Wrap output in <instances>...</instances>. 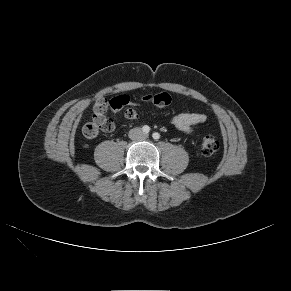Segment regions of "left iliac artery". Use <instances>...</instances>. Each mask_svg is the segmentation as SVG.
Listing matches in <instances>:
<instances>
[{"label": "left iliac artery", "mask_w": 291, "mask_h": 291, "mask_svg": "<svg viewBox=\"0 0 291 291\" xmlns=\"http://www.w3.org/2000/svg\"><path fill=\"white\" fill-rule=\"evenodd\" d=\"M153 139L158 140L160 138V134L158 132H154L152 134Z\"/></svg>", "instance_id": "obj_1"}]
</instances>
